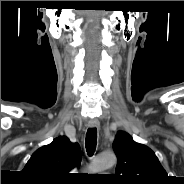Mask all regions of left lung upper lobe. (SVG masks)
I'll use <instances>...</instances> for the list:
<instances>
[{"label":"left lung upper lobe","mask_w":184,"mask_h":184,"mask_svg":"<svg viewBox=\"0 0 184 184\" xmlns=\"http://www.w3.org/2000/svg\"><path fill=\"white\" fill-rule=\"evenodd\" d=\"M118 163L114 180L120 184H167L169 177L155 153L124 131L113 142Z\"/></svg>","instance_id":"5c2ea615"}]
</instances>
